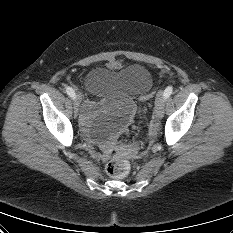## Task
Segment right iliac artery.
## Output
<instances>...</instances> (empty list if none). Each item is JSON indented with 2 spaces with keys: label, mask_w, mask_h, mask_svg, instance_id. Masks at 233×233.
I'll use <instances>...</instances> for the list:
<instances>
[{
  "label": "right iliac artery",
  "mask_w": 233,
  "mask_h": 233,
  "mask_svg": "<svg viewBox=\"0 0 233 233\" xmlns=\"http://www.w3.org/2000/svg\"><path fill=\"white\" fill-rule=\"evenodd\" d=\"M66 89V93L71 97V98H75V92H74V90L71 88V87H66L65 88Z\"/></svg>",
  "instance_id": "obj_1"
}]
</instances>
